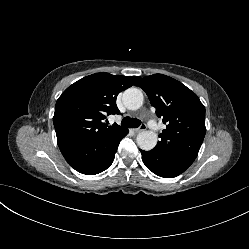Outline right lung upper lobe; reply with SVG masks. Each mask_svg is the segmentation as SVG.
Masks as SVG:
<instances>
[{
	"mask_svg": "<svg viewBox=\"0 0 249 249\" xmlns=\"http://www.w3.org/2000/svg\"><path fill=\"white\" fill-rule=\"evenodd\" d=\"M140 80L138 76L96 73L69 86L58 98L53 123L58 143L87 142L125 130L103 123L106 115L119 114L117 95Z\"/></svg>",
	"mask_w": 249,
	"mask_h": 249,
	"instance_id": "1",
	"label": "right lung upper lobe"
}]
</instances>
